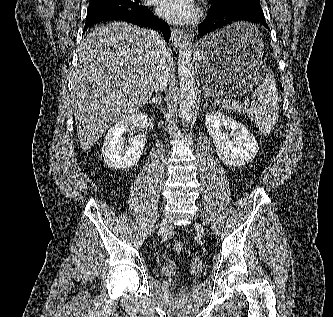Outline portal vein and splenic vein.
<instances>
[{
	"mask_svg": "<svg viewBox=\"0 0 333 317\" xmlns=\"http://www.w3.org/2000/svg\"><path fill=\"white\" fill-rule=\"evenodd\" d=\"M232 103H233V104H239L238 102H235V101H233ZM245 104H246V101H245Z\"/></svg>",
	"mask_w": 333,
	"mask_h": 317,
	"instance_id": "portal-vein-and-splenic-vein-1",
	"label": "portal vein and splenic vein"
}]
</instances>
